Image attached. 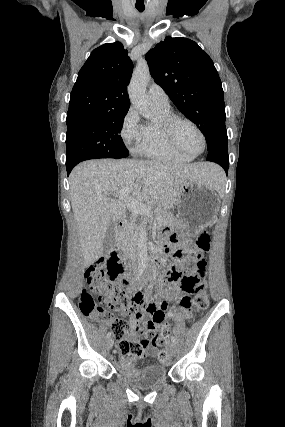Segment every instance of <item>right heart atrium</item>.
<instances>
[{"mask_svg": "<svg viewBox=\"0 0 285 427\" xmlns=\"http://www.w3.org/2000/svg\"><path fill=\"white\" fill-rule=\"evenodd\" d=\"M144 135V125L141 124L140 116L136 109L131 107L124 117L121 137L131 152L137 153Z\"/></svg>", "mask_w": 285, "mask_h": 427, "instance_id": "right-heart-atrium-1", "label": "right heart atrium"}]
</instances>
